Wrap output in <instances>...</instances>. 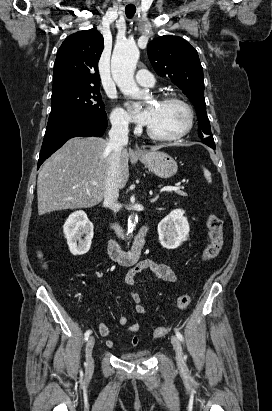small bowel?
Listing matches in <instances>:
<instances>
[{"label":"small bowel","instance_id":"c3829d8e","mask_svg":"<svg viewBox=\"0 0 272 411\" xmlns=\"http://www.w3.org/2000/svg\"><path fill=\"white\" fill-rule=\"evenodd\" d=\"M150 271L158 279H161L166 282L175 283L178 281V276L171 266L163 261H157L153 259H144L137 262L133 265L123 277L124 284L130 289V296L133 302L135 303V311L140 315H147L149 309L143 303L142 296L136 291V275L143 272ZM120 325H126L128 323V317L122 315L118 319ZM97 328L101 336L108 337L110 335L109 327L100 320H97ZM142 326L139 323H133L128 327V331L134 335L131 338L130 344L132 347H136L139 344V338L136 335L141 330ZM106 346L108 348H113L115 343L113 340L108 339L106 341Z\"/></svg>","mask_w":272,"mask_h":411}]
</instances>
